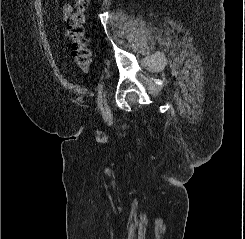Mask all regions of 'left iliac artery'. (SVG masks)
Here are the masks:
<instances>
[{
  "mask_svg": "<svg viewBox=\"0 0 245 239\" xmlns=\"http://www.w3.org/2000/svg\"><path fill=\"white\" fill-rule=\"evenodd\" d=\"M98 90V107L102 106V90H103V82H100L97 86Z\"/></svg>",
  "mask_w": 245,
  "mask_h": 239,
  "instance_id": "left-iliac-artery-1",
  "label": "left iliac artery"
}]
</instances>
